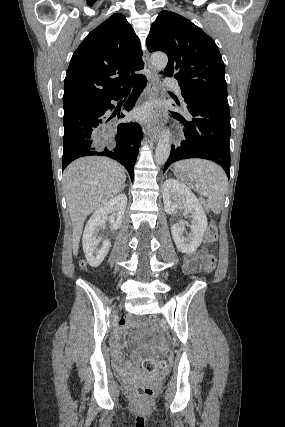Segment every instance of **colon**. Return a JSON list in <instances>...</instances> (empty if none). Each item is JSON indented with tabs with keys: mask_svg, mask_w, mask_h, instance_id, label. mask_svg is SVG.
<instances>
[{
	"mask_svg": "<svg viewBox=\"0 0 285 427\" xmlns=\"http://www.w3.org/2000/svg\"><path fill=\"white\" fill-rule=\"evenodd\" d=\"M216 242H217V230L214 226H209L206 231L205 246L203 247L198 257L202 268L206 272L212 271L216 265L215 257L212 254L207 252L206 247L209 245H214ZM191 263H192V260H189L187 263V267H189ZM139 361H140V364L143 366L144 370L150 373L159 371L166 367V362L164 360L151 359V358L140 356ZM134 393L139 402L148 403L153 399L154 390H153V387L150 385H140L135 388Z\"/></svg>",
	"mask_w": 285,
	"mask_h": 427,
	"instance_id": "1",
	"label": "colon"
}]
</instances>
